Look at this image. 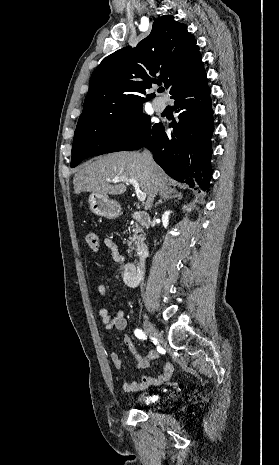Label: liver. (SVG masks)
<instances>
[{
	"instance_id": "6515ba94",
	"label": "liver",
	"mask_w": 279,
	"mask_h": 465,
	"mask_svg": "<svg viewBox=\"0 0 279 465\" xmlns=\"http://www.w3.org/2000/svg\"><path fill=\"white\" fill-rule=\"evenodd\" d=\"M123 176L136 180L146 193V210L157 194L165 198L176 192L166 173L155 162L150 167L139 152L110 153L86 162L74 176V192L121 195L126 191V181L111 184V180Z\"/></svg>"
}]
</instances>
